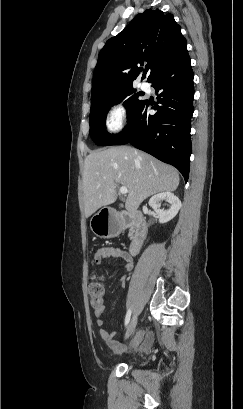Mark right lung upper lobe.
<instances>
[{"mask_svg":"<svg viewBox=\"0 0 243 409\" xmlns=\"http://www.w3.org/2000/svg\"><path fill=\"white\" fill-rule=\"evenodd\" d=\"M187 45L173 15L159 9L138 14L117 36L110 38L99 53L94 70L91 102L122 89L133 81L148 82ZM146 70L141 75V66Z\"/></svg>","mask_w":243,"mask_h":409,"instance_id":"1","label":"right lung upper lobe"}]
</instances>
